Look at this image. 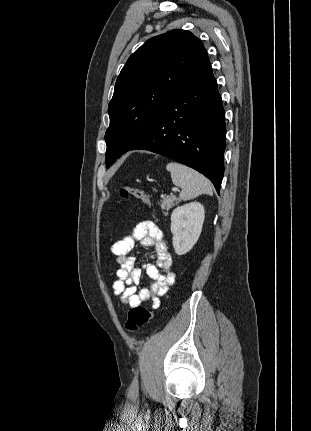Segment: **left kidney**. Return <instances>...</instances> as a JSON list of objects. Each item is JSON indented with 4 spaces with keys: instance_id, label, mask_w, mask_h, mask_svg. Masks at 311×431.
Wrapping results in <instances>:
<instances>
[{
    "instance_id": "left-kidney-1",
    "label": "left kidney",
    "mask_w": 311,
    "mask_h": 431,
    "mask_svg": "<svg viewBox=\"0 0 311 431\" xmlns=\"http://www.w3.org/2000/svg\"><path fill=\"white\" fill-rule=\"evenodd\" d=\"M204 206L190 202L178 206L171 214L172 243L177 255H184L195 245L202 231Z\"/></svg>"
}]
</instances>
